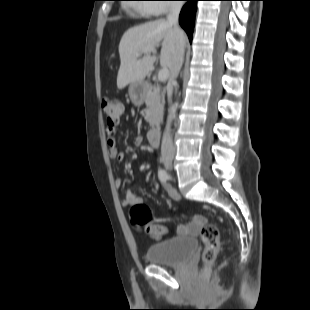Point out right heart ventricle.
I'll use <instances>...</instances> for the list:
<instances>
[{
	"label": "right heart ventricle",
	"instance_id": "right-heart-ventricle-1",
	"mask_svg": "<svg viewBox=\"0 0 310 310\" xmlns=\"http://www.w3.org/2000/svg\"><path fill=\"white\" fill-rule=\"evenodd\" d=\"M139 12L145 16H151L154 15V12L152 8L149 7V5L145 4L138 8Z\"/></svg>",
	"mask_w": 310,
	"mask_h": 310
}]
</instances>
